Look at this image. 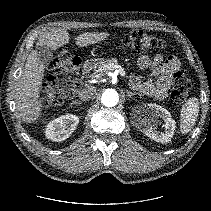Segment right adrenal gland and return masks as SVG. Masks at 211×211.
<instances>
[{"label": "right adrenal gland", "mask_w": 211, "mask_h": 211, "mask_svg": "<svg viewBox=\"0 0 211 211\" xmlns=\"http://www.w3.org/2000/svg\"><path fill=\"white\" fill-rule=\"evenodd\" d=\"M82 103L80 101H72V103L70 104V107H72L73 105L74 106H79L81 105Z\"/></svg>", "instance_id": "2a0ac1e0"}]
</instances>
